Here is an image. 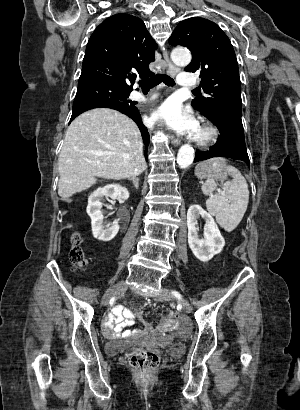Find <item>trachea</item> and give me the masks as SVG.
<instances>
[{
	"label": "trachea",
	"instance_id": "trachea-1",
	"mask_svg": "<svg viewBox=\"0 0 300 410\" xmlns=\"http://www.w3.org/2000/svg\"><path fill=\"white\" fill-rule=\"evenodd\" d=\"M161 82L165 83L167 86H174L175 82L174 80L166 75V74H157L153 77H150L148 79H144L139 81V86L143 91H149L151 88L157 86ZM193 92H198L197 90H193Z\"/></svg>",
	"mask_w": 300,
	"mask_h": 410
}]
</instances>
